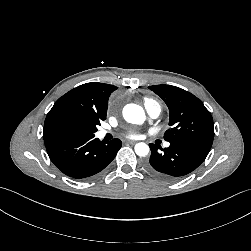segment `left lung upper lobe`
Masks as SVG:
<instances>
[{
  "mask_svg": "<svg viewBox=\"0 0 251 251\" xmlns=\"http://www.w3.org/2000/svg\"><path fill=\"white\" fill-rule=\"evenodd\" d=\"M149 89L159 95L169 108V125L172 128L164 134L166 141H188L212 146L213 119L200 99L171 85H153Z\"/></svg>",
  "mask_w": 251,
  "mask_h": 251,
  "instance_id": "5c2ea615",
  "label": "left lung upper lobe"
}]
</instances>
